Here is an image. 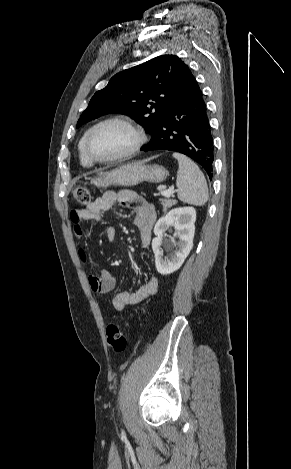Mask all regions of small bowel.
Listing matches in <instances>:
<instances>
[{"label": "small bowel", "mask_w": 291, "mask_h": 469, "mask_svg": "<svg viewBox=\"0 0 291 469\" xmlns=\"http://www.w3.org/2000/svg\"><path fill=\"white\" fill-rule=\"evenodd\" d=\"M115 202H120L134 209V224L139 230L142 247H148L152 238V228L156 220L155 209L151 203L130 190H122L119 192L107 191L90 203L86 209L74 211L71 219L74 223L76 236L81 238L84 234L85 222H100L103 213L111 208ZM106 236L108 242H113L116 237V228L109 226L106 230ZM80 256L83 260L85 259L83 250L80 251ZM88 282L90 288L100 294H108L116 287V278L106 269L100 270L96 275H90ZM157 288V279L151 277L133 292L124 291L115 294L112 298L113 308L121 312L127 306L138 304L147 297L155 294Z\"/></svg>", "instance_id": "obj_1"}]
</instances>
